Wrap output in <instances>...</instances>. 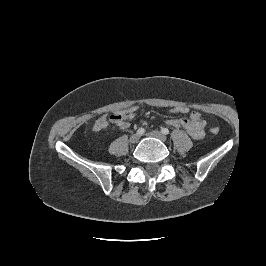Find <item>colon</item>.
Masks as SVG:
<instances>
[{
    "label": "colon",
    "instance_id": "5ec220e1",
    "mask_svg": "<svg viewBox=\"0 0 266 266\" xmlns=\"http://www.w3.org/2000/svg\"><path fill=\"white\" fill-rule=\"evenodd\" d=\"M136 110H137L136 107H132V108H129L127 110L114 112L109 116V120L112 123L118 125L119 123H121L125 120L132 119L135 115ZM189 112H190V109L187 106H182V105L175 106V107H172L170 109V113H173V114L184 115V114H188ZM210 132L212 134H218L219 128L218 127H212L210 129Z\"/></svg>",
    "mask_w": 266,
    "mask_h": 266
}]
</instances>
